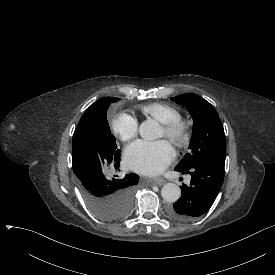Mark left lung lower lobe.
I'll use <instances>...</instances> for the list:
<instances>
[{
	"mask_svg": "<svg viewBox=\"0 0 275 275\" xmlns=\"http://www.w3.org/2000/svg\"><path fill=\"white\" fill-rule=\"evenodd\" d=\"M190 174L189 185L182 184V196L169 206L168 215L177 221H189L205 214L212 206L224 180V165L217 162L197 164L190 169L175 168Z\"/></svg>",
	"mask_w": 275,
	"mask_h": 275,
	"instance_id": "1",
	"label": "left lung lower lobe"
}]
</instances>
